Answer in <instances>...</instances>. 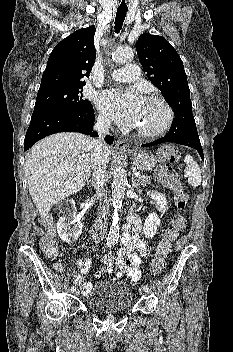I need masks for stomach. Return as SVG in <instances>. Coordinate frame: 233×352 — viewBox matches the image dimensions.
I'll list each match as a JSON object with an SVG mask.
<instances>
[{
  "label": "stomach",
  "instance_id": "0dacf381",
  "mask_svg": "<svg viewBox=\"0 0 233 352\" xmlns=\"http://www.w3.org/2000/svg\"><path fill=\"white\" fill-rule=\"evenodd\" d=\"M132 164L141 171H148L155 167L158 159L147 151H133L130 153Z\"/></svg>",
  "mask_w": 233,
  "mask_h": 352
}]
</instances>
